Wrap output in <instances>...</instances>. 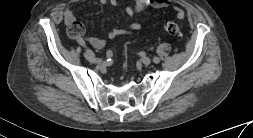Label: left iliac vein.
I'll return each mask as SVG.
<instances>
[{
  "label": "left iliac vein",
  "instance_id": "left-iliac-vein-1",
  "mask_svg": "<svg viewBox=\"0 0 253 138\" xmlns=\"http://www.w3.org/2000/svg\"><path fill=\"white\" fill-rule=\"evenodd\" d=\"M141 62L144 65H149L151 63V59L149 57L143 56V57H141Z\"/></svg>",
  "mask_w": 253,
  "mask_h": 138
}]
</instances>
